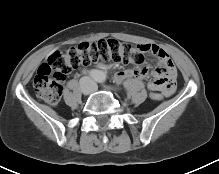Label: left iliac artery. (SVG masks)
<instances>
[{"label": "left iliac artery", "mask_w": 219, "mask_h": 174, "mask_svg": "<svg viewBox=\"0 0 219 174\" xmlns=\"http://www.w3.org/2000/svg\"><path fill=\"white\" fill-rule=\"evenodd\" d=\"M104 80H105V78L102 74H100L97 78V81L100 82V83L104 82Z\"/></svg>", "instance_id": "obj_1"}]
</instances>
